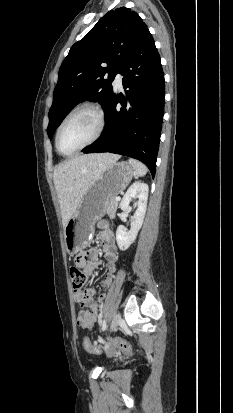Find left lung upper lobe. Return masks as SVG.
Here are the masks:
<instances>
[{
    "instance_id": "left-lung-upper-lobe-1",
    "label": "left lung upper lobe",
    "mask_w": 233,
    "mask_h": 413,
    "mask_svg": "<svg viewBox=\"0 0 233 413\" xmlns=\"http://www.w3.org/2000/svg\"><path fill=\"white\" fill-rule=\"evenodd\" d=\"M146 32L147 25L140 16L121 7L108 12L71 47L61 64L54 89L47 128L49 138L79 101H98L107 109L114 97L110 82L120 73ZM107 73L108 79H104Z\"/></svg>"
}]
</instances>
